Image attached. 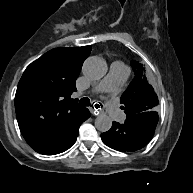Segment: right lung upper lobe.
<instances>
[{"mask_svg":"<svg viewBox=\"0 0 193 193\" xmlns=\"http://www.w3.org/2000/svg\"><path fill=\"white\" fill-rule=\"evenodd\" d=\"M91 46L55 48L31 63L15 95L20 131L33 148L54 144L85 114L70 95Z\"/></svg>","mask_w":193,"mask_h":193,"instance_id":"1","label":"right lung upper lobe"}]
</instances>
